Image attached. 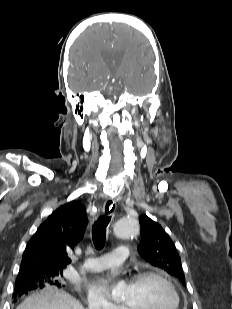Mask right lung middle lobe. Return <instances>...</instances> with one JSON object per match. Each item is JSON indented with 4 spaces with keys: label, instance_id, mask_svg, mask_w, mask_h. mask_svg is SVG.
Masks as SVG:
<instances>
[{
    "label": "right lung middle lobe",
    "instance_id": "right-lung-middle-lobe-1",
    "mask_svg": "<svg viewBox=\"0 0 232 309\" xmlns=\"http://www.w3.org/2000/svg\"><path fill=\"white\" fill-rule=\"evenodd\" d=\"M63 275V270H48V271H23L20 270L16 279L15 287L19 285H24L32 280L38 282L39 287L43 288L46 286H60L61 277Z\"/></svg>",
    "mask_w": 232,
    "mask_h": 309
}]
</instances>
